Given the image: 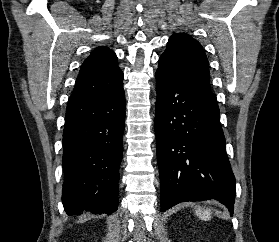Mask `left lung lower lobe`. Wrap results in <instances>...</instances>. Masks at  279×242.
Segmentation results:
<instances>
[{"mask_svg":"<svg viewBox=\"0 0 279 242\" xmlns=\"http://www.w3.org/2000/svg\"><path fill=\"white\" fill-rule=\"evenodd\" d=\"M155 77L161 211L216 199L233 214L235 178L216 97L167 57H160Z\"/></svg>","mask_w":279,"mask_h":242,"instance_id":"obj_1","label":"left lung lower lobe"}]
</instances>
